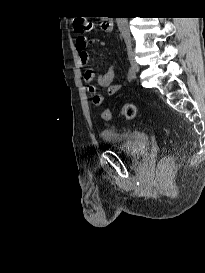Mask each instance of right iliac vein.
I'll return each mask as SVG.
<instances>
[{"instance_id": "right-iliac-vein-1", "label": "right iliac vein", "mask_w": 205, "mask_h": 273, "mask_svg": "<svg viewBox=\"0 0 205 273\" xmlns=\"http://www.w3.org/2000/svg\"><path fill=\"white\" fill-rule=\"evenodd\" d=\"M128 59H129V62H130V65H131L133 71L135 73H138L139 72V65H138V63L135 59V55L132 51L128 52Z\"/></svg>"}]
</instances>
